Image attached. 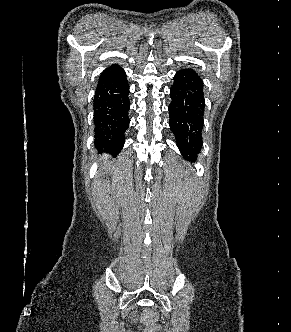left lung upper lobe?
I'll list each match as a JSON object with an SVG mask.
<instances>
[{
    "mask_svg": "<svg viewBox=\"0 0 291 332\" xmlns=\"http://www.w3.org/2000/svg\"><path fill=\"white\" fill-rule=\"evenodd\" d=\"M180 146L183 149L187 150V151H191L192 150V147H191L192 145L190 143H188V142H182V143H180Z\"/></svg>",
    "mask_w": 291,
    "mask_h": 332,
    "instance_id": "5c2ea615",
    "label": "left lung upper lobe"
}]
</instances>
